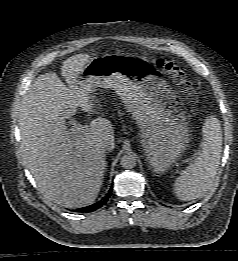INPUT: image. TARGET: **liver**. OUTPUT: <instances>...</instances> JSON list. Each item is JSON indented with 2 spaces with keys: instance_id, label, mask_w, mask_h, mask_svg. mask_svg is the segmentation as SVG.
<instances>
[{
  "instance_id": "1",
  "label": "liver",
  "mask_w": 238,
  "mask_h": 261,
  "mask_svg": "<svg viewBox=\"0 0 238 261\" xmlns=\"http://www.w3.org/2000/svg\"><path fill=\"white\" fill-rule=\"evenodd\" d=\"M88 54L66 59L61 74L38 76L23 97L19 112L21 152L25 166L42 195L63 207L92 204L103 184L107 167L100 147L115 148L114 130L106 118L93 119L82 133L67 131L65 119L84 112L96 113L93 98L77 85V78L90 62Z\"/></svg>"
}]
</instances>
